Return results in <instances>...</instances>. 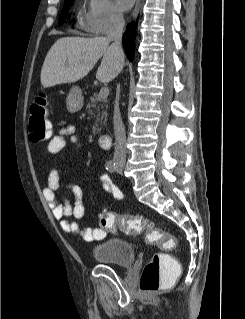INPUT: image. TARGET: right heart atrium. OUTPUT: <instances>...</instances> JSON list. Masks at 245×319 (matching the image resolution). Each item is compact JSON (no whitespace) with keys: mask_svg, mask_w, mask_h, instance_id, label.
<instances>
[{"mask_svg":"<svg viewBox=\"0 0 245 319\" xmlns=\"http://www.w3.org/2000/svg\"><path fill=\"white\" fill-rule=\"evenodd\" d=\"M122 19L121 12L111 0H87L81 26L88 34L102 35L118 28Z\"/></svg>","mask_w":245,"mask_h":319,"instance_id":"1","label":"right heart atrium"}]
</instances>
